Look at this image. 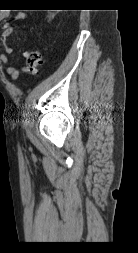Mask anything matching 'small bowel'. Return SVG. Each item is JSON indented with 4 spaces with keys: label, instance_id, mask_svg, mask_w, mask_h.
Returning <instances> with one entry per match:
<instances>
[{
    "label": "small bowel",
    "instance_id": "1",
    "mask_svg": "<svg viewBox=\"0 0 138 253\" xmlns=\"http://www.w3.org/2000/svg\"><path fill=\"white\" fill-rule=\"evenodd\" d=\"M24 18L25 14L19 13L15 16L12 22L4 23L2 26L0 41L3 45L5 53L0 55V61L4 65L5 72L11 77L12 80H16L18 78L19 69L9 66V59L7 55L11 54L14 49L11 45L8 44V38L13 32L15 22Z\"/></svg>",
    "mask_w": 138,
    "mask_h": 253
}]
</instances>
